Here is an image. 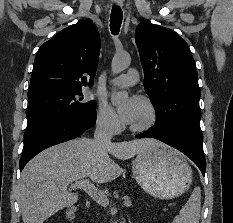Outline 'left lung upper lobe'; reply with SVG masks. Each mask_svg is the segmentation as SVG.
Wrapping results in <instances>:
<instances>
[{"label": "left lung upper lobe", "mask_w": 233, "mask_h": 223, "mask_svg": "<svg viewBox=\"0 0 233 223\" xmlns=\"http://www.w3.org/2000/svg\"><path fill=\"white\" fill-rule=\"evenodd\" d=\"M144 88L156 111L154 127L199 130L201 91L191 51L175 31L141 22L135 32Z\"/></svg>", "instance_id": "1"}]
</instances>
